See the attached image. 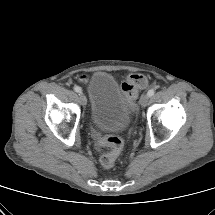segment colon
<instances>
[{"label":"colon","mask_w":215,"mask_h":215,"mask_svg":"<svg viewBox=\"0 0 215 215\" xmlns=\"http://www.w3.org/2000/svg\"><path fill=\"white\" fill-rule=\"evenodd\" d=\"M146 85L147 80L141 74H132L125 82L122 83L121 90L131 111L136 110V99L138 97L139 90L145 88ZM97 140L100 146L108 148V151L100 157V163L104 168L109 169L113 167L117 157L123 149V140L114 135H98Z\"/></svg>","instance_id":"5ec220e1"}]
</instances>
